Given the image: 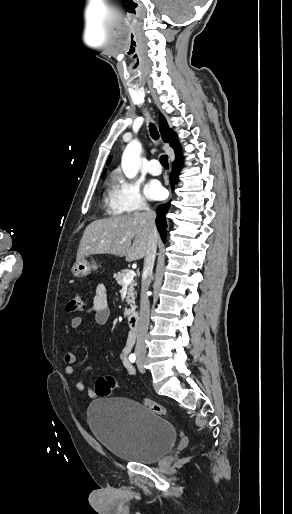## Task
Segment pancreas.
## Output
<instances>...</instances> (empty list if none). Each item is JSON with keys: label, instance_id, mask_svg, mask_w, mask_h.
Returning <instances> with one entry per match:
<instances>
[{"label": "pancreas", "instance_id": "1", "mask_svg": "<svg viewBox=\"0 0 292 514\" xmlns=\"http://www.w3.org/2000/svg\"><path fill=\"white\" fill-rule=\"evenodd\" d=\"M129 270H121V272H118V274H114V278L117 282V284H119V286H125L124 284V278L126 276V274H128ZM135 282L134 280H132V282H130V286L128 288V292H127V302L128 304H130L131 308H135ZM133 310H125V316H129V314H131V312H133Z\"/></svg>", "mask_w": 292, "mask_h": 514}]
</instances>
